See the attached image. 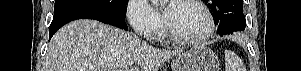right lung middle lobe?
<instances>
[{
	"mask_svg": "<svg viewBox=\"0 0 301 71\" xmlns=\"http://www.w3.org/2000/svg\"><path fill=\"white\" fill-rule=\"evenodd\" d=\"M127 0H55L54 14L77 8L107 11L124 19Z\"/></svg>",
	"mask_w": 301,
	"mask_h": 71,
	"instance_id": "1",
	"label": "right lung middle lobe"
}]
</instances>
